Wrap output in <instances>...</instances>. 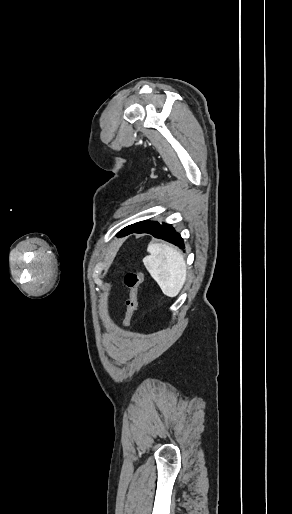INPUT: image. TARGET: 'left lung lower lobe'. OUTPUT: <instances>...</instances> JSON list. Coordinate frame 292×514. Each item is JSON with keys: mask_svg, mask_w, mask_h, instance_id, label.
Returning <instances> with one entry per match:
<instances>
[{"mask_svg": "<svg viewBox=\"0 0 292 514\" xmlns=\"http://www.w3.org/2000/svg\"><path fill=\"white\" fill-rule=\"evenodd\" d=\"M139 233H148L153 235L155 238L171 242L181 249L185 248L183 238L170 224L154 222L148 229Z\"/></svg>", "mask_w": 292, "mask_h": 514, "instance_id": "left-lung-lower-lobe-1", "label": "left lung lower lobe"}]
</instances>
